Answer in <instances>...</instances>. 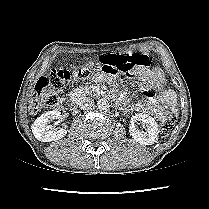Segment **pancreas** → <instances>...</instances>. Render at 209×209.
<instances>
[{
	"instance_id": "obj_1",
	"label": "pancreas",
	"mask_w": 209,
	"mask_h": 209,
	"mask_svg": "<svg viewBox=\"0 0 209 209\" xmlns=\"http://www.w3.org/2000/svg\"><path fill=\"white\" fill-rule=\"evenodd\" d=\"M73 92L75 93L78 99H81L83 96H93L100 93V91L97 90L93 85L80 86L76 88Z\"/></svg>"
}]
</instances>
